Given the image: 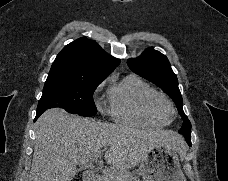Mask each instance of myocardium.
I'll list each match as a JSON object with an SVG mask.
<instances>
[{"instance_id":"1","label":"myocardium","mask_w":228,"mask_h":181,"mask_svg":"<svg viewBox=\"0 0 228 181\" xmlns=\"http://www.w3.org/2000/svg\"><path fill=\"white\" fill-rule=\"evenodd\" d=\"M153 107L156 111L163 114L172 113V106L170 102L164 98H159L158 100H156L153 104Z\"/></svg>"}]
</instances>
